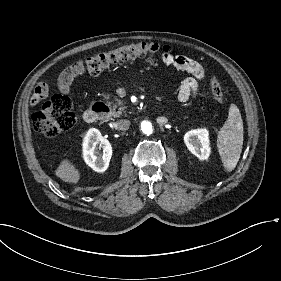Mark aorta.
Returning <instances> with one entry per match:
<instances>
[{"mask_svg": "<svg viewBox=\"0 0 281 281\" xmlns=\"http://www.w3.org/2000/svg\"><path fill=\"white\" fill-rule=\"evenodd\" d=\"M141 129H142V132L146 135H150L152 134V124L148 121H143L141 123Z\"/></svg>", "mask_w": 281, "mask_h": 281, "instance_id": "aorta-1", "label": "aorta"}]
</instances>
